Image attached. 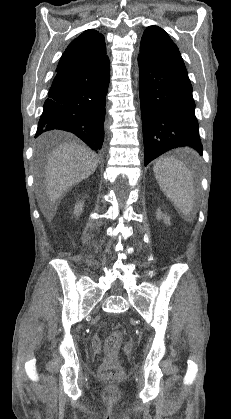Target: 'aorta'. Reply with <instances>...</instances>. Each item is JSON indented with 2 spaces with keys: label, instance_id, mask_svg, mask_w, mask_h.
Returning a JSON list of instances; mask_svg holds the SVG:
<instances>
[{
  "label": "aorta",
  "instance_id": "obj_1",
  "mask_svg": "<svg viewBox=\"0 0 231 419\" xmlns=\"http://www.w3.org/2000/svg\"><path fill=\"white\" fill-rule=\"evenodd\" d=\"M134 76H135L136 78H138V77H139V69H138V68L135 70V72H134Z\"/></svg>",
  "mask_w": 231,
  "mask_h": 419
}]
</instances>
